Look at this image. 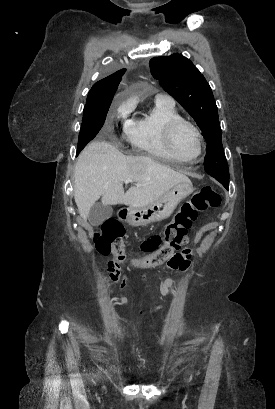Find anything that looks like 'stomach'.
I'll return each instance as SVG.
<instances>
[{"mask_svg":"<svg viewBox=\"0 0 275 409\" xmlns=\"http://www.w3.org/2000/svg\"><path fill=\"white\" fill-rule=\"evenodd\" d=\"M191 192H193L191 180L178 182L170 190H167L163 196L150 202V205L131 207L126 221L130 225H134V227H146L149 223H157V221L168 219L179 205V202Z\"/></svg>","mask_w":275,"mask_h":409,"instance_id":"stomach-1","label":"stomach"}]
</instances>
